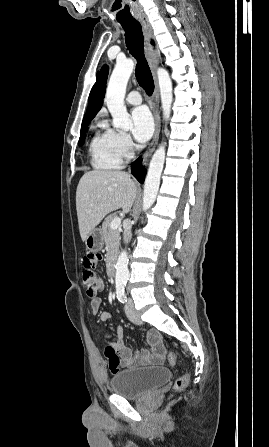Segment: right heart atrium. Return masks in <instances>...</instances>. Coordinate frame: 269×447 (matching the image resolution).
Here are the masks:
<instances>
[{
    "label": "right heart atrium",
    "mask_w": 269,
    "mask_h": 447,
    "mask_svg": "<svg viewBox=\"0 0 269 447\" xmlns=\"http://www.w3.org/2000/svg\"><path fill=\"white\" fill-rule=\"evenodd\" d=\"M114 133L119 153L123 158H130L135 152V144L130 135L121 131H114Z\"/></svg>",
    "instance_id": "d8ad5b80"
}]
</instances>
